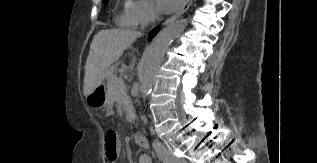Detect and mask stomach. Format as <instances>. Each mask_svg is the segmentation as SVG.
<instances>
[{
	"label": "stomach",
	"instance_id": "obj_1",
	"mask_svg": "<svg viewBox=\"0 0 317 163\" xmlns=\"http://www.w3.org/2000/svg\"><path fill=\"white\" fill-rule=\"evenodd\" d=\"M86 102L91 108H102L107 106V91L103 85L98 86L86 97Z\"/></svg>",
	"mask_w": 317,
	"mask_h": 163
}]
</instances>
